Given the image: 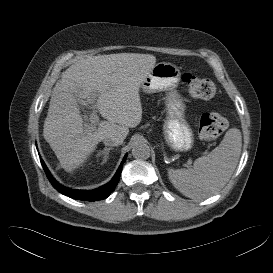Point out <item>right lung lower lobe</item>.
Wrapping results in <instances>:
<instances>
[{
    "label": "right lung lower lobe",
    "instance_id": "obj_1",
    "mask_svg": "<svg viewBox=\"0 0 273 273\" xmlns=\"http://www.w3.org/2000/svg\"><path fill=\"white\" fill-rule=\"evenodd\" d=\"M126 156L124 157L121 165L119 166L117 172L115 173V175L111 179V181L109 183L97 188V189H94V190H76V189H71V188L65 187L55 180V178L51 175V173L47 169L43 160H41V164L44 168V171H45L49 181L51 182L53 187L55 189H57L60 193L66 195L70 198L78 199V200H82V201H97V200H102V199L107 198L111 194V192L115 189V186L117 185V183L120 179L122 166H123V163L125 162Z\"/></svg>",
    "mask_w": 273,
    "mask_h": 273
}]
</instances>
